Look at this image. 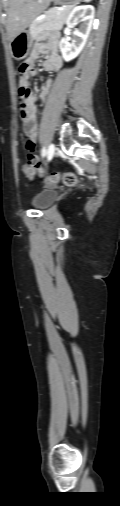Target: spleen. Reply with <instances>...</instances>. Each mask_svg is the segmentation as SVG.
<instances>
[{
	"label": "spleen",
	"instance_id": "1",
	"mask_svg": "<svg viewBox=\"0 0 120 506\" xmlns=\"http://www.w3.org/2000/svg\"><path fill=\"white\" fill-rule=\"evenodd\" d=\"M91 0H84V2H90Z\"/></svg>",
	"mask_w": 120,
	"mask_h": 506
}]
</instances>
